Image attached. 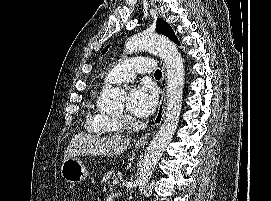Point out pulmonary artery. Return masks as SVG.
Masks as SVG:
<instances>
[{"label": "pulmonary artery", "instance_id": "e3ab8cb5", "mask_svg": "<svg viewBox=\"0 0 271 201\" xmlns=\"http://www.w3.org/2000/svg\"><path fill=\"white\" fill-rule=\"evenodd\" d=\"M154 68L155 66L152 59L148 57L128 58L111 69L105 78V82H129L133 80L137 74L152 73Z\"/></svg>", "mask_w": 271, "mask_h": 201}]
</instances>
